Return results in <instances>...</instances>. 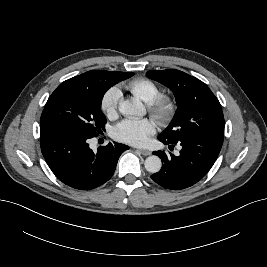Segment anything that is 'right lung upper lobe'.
<instances>
[{"label":"right lung upper lobe","instance_id":"cb5924a9","mask_svg":"<svg viewBox=\"0 0 267 267\" xmlns=\"http://www.w3.org/2000/svg\"><path fill=\"white\" fill-rule=\"evenodd\" d=\"M111 76H112V71L93 70L83 73L79 76L70 78L64 82L70 84H88L96 80H102V81L108 80Z\"/></svg>","mask_w":267,"mask_h":267}]
</instances>
